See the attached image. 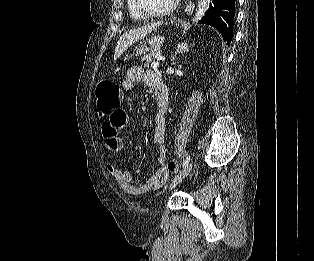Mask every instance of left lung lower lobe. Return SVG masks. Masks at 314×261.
<instances>
[{"mask_svg":"<svg viewBox=\"0 0 314 261\" xmlns=\"http://www.w3.org/2000/svg\"><path fill=\"white\" fill-rule=\"evenodd\" d=\"M235 4V0H213V6L210 4L205 17L199 23L215 27L223 39L230 43L233 37Z\"/></svg>","mask_w":314,"mask_h":261,"instance_id":"left-lung-lower-lobe-1","label":"left lung lower lobe"}]
</instances>
